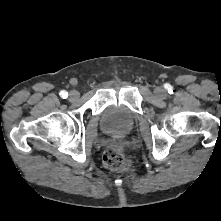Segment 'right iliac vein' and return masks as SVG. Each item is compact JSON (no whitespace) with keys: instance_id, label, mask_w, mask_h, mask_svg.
I'll use <instances>...</instances> for the list:
<instances>
[{"instance_id":"right-iliac-vein-1","label":"right iliac vein","mask_w":221,"mask_h":221,"mask_svg":"<svg viewBox=\"0 0 221 221\" xmlns=\"http://www.w3.org/2000/svg\"><path fill=\"white\" fill-rule=\"evenodd\" d=\"M79 92L78 91H76V90H72V91H70V93H69V100L70 101H75V100H77L78 98H79Z\"/></svg>"}]
</instances>
